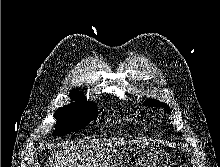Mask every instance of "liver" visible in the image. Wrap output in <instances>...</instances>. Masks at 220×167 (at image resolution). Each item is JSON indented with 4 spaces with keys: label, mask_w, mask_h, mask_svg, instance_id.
Here are the masks:
<instances>
[{
    "label": "liver",
    "mask_w": 220,
    "mask_h": 167,
    "mask_svg": "<svg viewBox=\"0 0 220 167\" xmlns=\"http://www.w3.org/2000/svg\"><path fill=\"white\" fill-rule=\"evenodd\" d=\"M133 142L137 141L111 138L63 143L46 167H111L121 147Z\"/></svg>",
    "instance_id": "6515ba94"
}]
</instances>
